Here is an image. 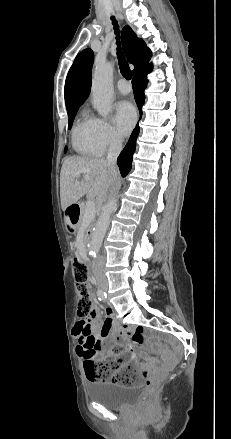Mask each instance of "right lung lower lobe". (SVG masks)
<instances>
[{"label": "right lung lower lobe", "mask_w": 231, "mask_h": 439, "mask_svg": "<svg viewBox=\"0 0 231 439\" xmlns=\"http://www.w3.org/2000/svg\"><path fill=\"white\" fill-rule=\"evenodd\" d=\"M152 70V65L148 64L136 72L133 73L132 87L134 92V98L139 108L140 116L142 115L141 107L144 103V89L147 85V74ZM139 134V126L136 125L133 130L129 141L127 142L125 148L120 153L117 163L121 172L122 177H125L131 169L132 166V156L136 147V139Z\"/></svg>", "instance_id": "1"}]
</instances>
